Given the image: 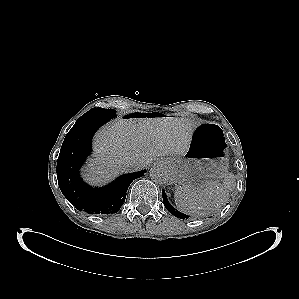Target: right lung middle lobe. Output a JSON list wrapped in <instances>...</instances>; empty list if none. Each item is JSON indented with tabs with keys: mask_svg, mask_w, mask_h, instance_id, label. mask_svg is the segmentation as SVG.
Instances as JSON below:
<instances>
[{
	"mask_svg": "<svg viewBox=\"0 0 299 299\" xmlns=\"http://www.w3.org/2000/svg\"><path fill=\"white\" fill-rule=\"evenodd\" d=\"M116 117V111L114 109L93 108L82 115L77 121H83L88 119H111Z\"/></svg>",
	"mask_w": 299,
	"mask_h": 299,
	"instance_id": "1",
	"label": "right lung middle lobe"
}]
</instances>
